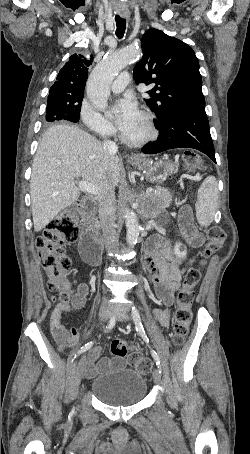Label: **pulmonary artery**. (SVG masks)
Listing matches in <instances>:
<instances>
[{"label":"pulmonary artery","mask_w":250,"mask_h":454,"mask_svg":"<svg viewBox=\"0 0 250 454\" xmlns=\"http://www.w3.org/2000/svg\"><path fill=\"white\" fill-rule=\"evenodd\" d=\"M131 80L130 73L125 71L117 76V78L111 84V90L114 93L121 92L125 89Z\"/></svg>","instance_id":"obj_1"}]
</instances>
